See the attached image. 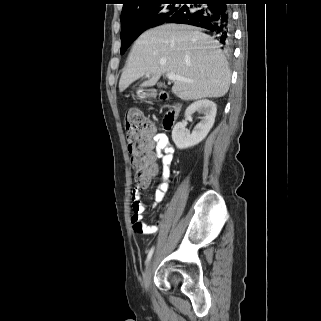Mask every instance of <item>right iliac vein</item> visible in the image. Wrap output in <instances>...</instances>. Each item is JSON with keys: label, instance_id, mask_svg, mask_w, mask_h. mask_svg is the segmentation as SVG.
<instances>
[{"label": "right iliac vein", "instance_id": "1", "mask_svg": "<svg viewBox=\"0 0 321 321\" xmlns=\"http://www.w3.org/2000/svg\"><path fill=\"white\" fill-rule=\"evenodd\" d=\"M152 273H153V262H152V260H150L147 264L146 272L144 275V288H145V290H148V288H149Z\"/></svg>", "mask_w": 321, "mask_h": 321}]
</instances>
